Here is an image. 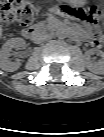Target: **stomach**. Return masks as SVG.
<instances>
[{
    "mask_svg": "<svg viewBox=\"0 0 104 137\" xmlns=\"http://www.w3.org/2000/svg\"><path fill=\"white\" fill-rule=\"evenodd\" d=\"M70 2L75 3V2H76V0H70Z\"/></svg>",
    "mask_w": 104,
    "mask_h": 137,
    "instance_id": "0dacf381",
    "label": "stomach"
}]
</instances>
